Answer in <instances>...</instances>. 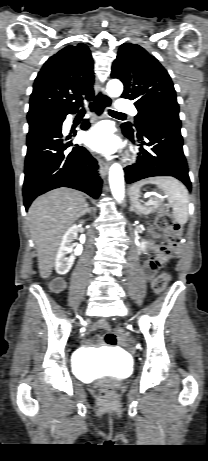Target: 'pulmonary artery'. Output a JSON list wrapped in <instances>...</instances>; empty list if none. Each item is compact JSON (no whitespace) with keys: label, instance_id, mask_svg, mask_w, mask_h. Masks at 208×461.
Returning <instances> with one entry per match:
<instances>
[{"label":"pulmonary artery","instance_id":"e3ab8cb5","mask_svg":"<svg viewBox=\"0 0 208 461\" xmlns=\"http://www.w3.org/2000/svg\"><path fill=\"white\" fill-rule=\"evenodd\" d=\"M116 108L119 112L122 113H129L131 115H136L137 110L131 102L121 98L118 103L116 104Z\"/></svg>","mask_w":208,"mask_h":461}]
</instances>
